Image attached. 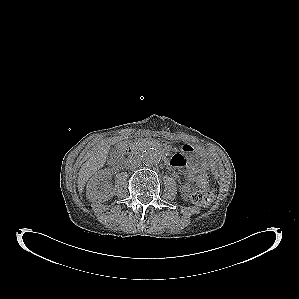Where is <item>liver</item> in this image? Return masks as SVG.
Masks as SVG:
<instances>
[{
	"label": "liver",
	"mask_w": 299,
	"mask_h": 299,
	"mask_svg": "<svg viewBox=\"0 0 299 299\" xmlns=\"http://www.w3.org/2000/svg\"><path fill=\"white\" fill-rule=\"evenodd\" d=\"M121 138L112 137L105 140L102 145L93 153V155L82 165L77 183L78 190L83 191L84 186L88 179L100 168H102L106 162L111 145L117 143Z\"/></svg>",
	"instance_id": "1"
}]
</instances>
